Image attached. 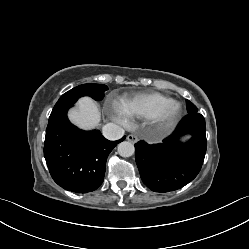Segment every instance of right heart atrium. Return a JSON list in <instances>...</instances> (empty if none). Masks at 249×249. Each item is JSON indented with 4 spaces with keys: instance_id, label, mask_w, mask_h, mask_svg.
Listing matches in <instances>:
<instances>
[{
    "instance_id": "1",
    "label": "right heart atrium",
    "mask_w": 249,
    "mask_h": 249,
    "mask_svg": "<svg viewBox=\"0 0 249 249\" xmlns=\"http://www.w3.org/2000/svg\"><path fill=\"white\" fill-rule=\"evenodd\" d=\"M114 117L117 121L123 123V124H127L128 123V117L126 115H124L118 108L115 109L114 111Z\"/></svg>"
}]
</instances>
